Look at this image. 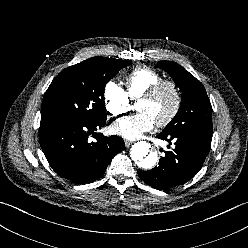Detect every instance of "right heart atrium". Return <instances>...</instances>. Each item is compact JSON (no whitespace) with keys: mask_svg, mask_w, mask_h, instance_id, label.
I'll return each instance as SVG.
<instances>
[{"mask_svg":"<svg viewBox=\"0 0 248 248\" xmlns=\"http://www.w3.org/2000/svg\"><path fill=\"white\" fill-rule=\"evenodd\" d=\"M104 101L107 111L114 117H121L131 109V101L126 91L115 82L106 84Z\"/></svg>","mask_w":248,"mask_h":248,"instance_id":"obj_1","label":"right heart atrium"}]
</instances>
